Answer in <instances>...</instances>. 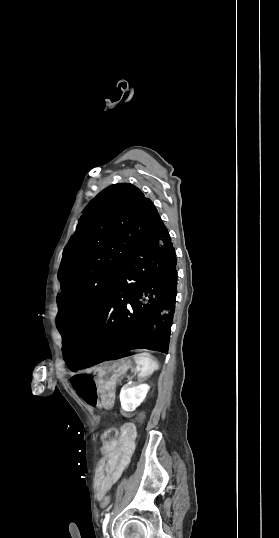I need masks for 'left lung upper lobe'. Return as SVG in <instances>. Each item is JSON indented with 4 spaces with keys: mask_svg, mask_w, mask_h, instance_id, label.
I'll list each match as a JSON object with an SVG mask.
<instances>
[{
    "mask_svg": "<svg viewBox=\"0 0 279 538\" xmlns=\"http://www.w3.org/2000/svg\"><path fill=\"white\" fill-rule=\"evenodd\" d=\"M64 248L57 328L63 335L87 327L159 214L135 186L111 185L84 210Z\"/></svg>",
    "mask_w": 279,
    "mask_h": 538,
    "instance_id": "5c2ea615",
    "label": "left lung upper lobe"
}]
</instances>
